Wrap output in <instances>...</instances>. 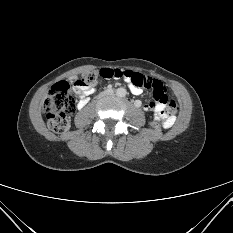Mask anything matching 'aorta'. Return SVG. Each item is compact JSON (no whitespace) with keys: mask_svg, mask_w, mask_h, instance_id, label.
<instances>
[{"mask_svg":"<svg viewBox=\"0 0 233 233\" xmlns=\"http://www.w3.org/2000/svg\"><path fill=\"white\" fill-rule=\"evenodd\" d=\"M116 94L119 97H125L126 94H127V91L124 88H118L117 91H116Z\"/></svg>","mask_w":233,"mask_h":233,"instance_id":"obj_1","label":"aorta"}]
</instances>
